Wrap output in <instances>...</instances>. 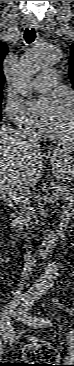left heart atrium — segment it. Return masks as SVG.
Returning a JSON list of instances; mask_svg holds the SVG:
<instances>
[{"label": "left heart atrium", "mask_w": 74, "mask_h": 366, "mask_svg": "<svg viewBox=\"0 0 74 366\" xmlns=\"http://www.w3.org/2000/svg\"><path fill=\"white\" fill-rule=\"evenodd\" d=\"M61 108L62 106L55 100H37L29 104V121H27L43 131H51L59 117Z\"/></svg>", "instance_id": "obj_1"}]
</instances>
